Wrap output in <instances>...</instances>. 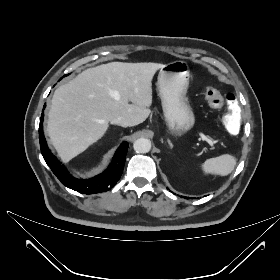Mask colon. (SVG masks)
I'll use <instances>...</instances> for the list:
<instances>
[{
	"label": "colon",
	"instance_id": "5ec220e1",
	"mask_svg": "<svg viewBox=\"0 0 280 280\" xmlns=\"http://www.w3.org/2000/svg\"><path fill=\"white\" fill-rule=\"evenodd\" d=\"M205 96L208 104L213 108H220L224 103L228 105V114L225 117L228 130L233 135L238 134L241 130L239 119L243 111L241 107L236 104V96L231 92L222 95L215 87H208Z\"/></svg>",
	"mask_w": 280,
	"mask_h": 280
}]
</instances>
